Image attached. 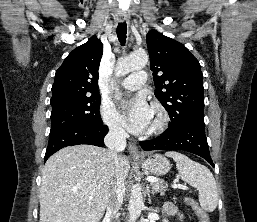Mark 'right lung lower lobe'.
<instances>
[{"instance_id": "98d812e1", "label": "right lung lower lobe", "mask_w": 257, "mask_h": 222, "mask_svg": "<svg viewBox=\"0 0 257 222\" xmlns=\"http://www.w3.org/2000/svg\"><path fill=\"white\" fill-rule=\"evenodd\" d=\"M107 133L108 127L105 125L100 127L69 126L50 132L44 162L56 151L66 146L90 144L103 147Z\"/></svg>"}]
</instances>
